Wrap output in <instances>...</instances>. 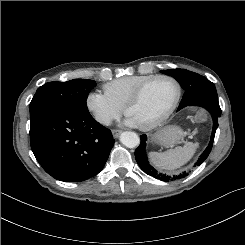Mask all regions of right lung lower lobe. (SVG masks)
Segmentation results:
<instances>
[{"label": "right lung lower lobe", "mask_w": 245, "mask_h": 245, "mask_svg": "<svg viewBox=\"0 0 245 245\" xmlns=\"http://www.w3.org/2000/svg\"><path fill=\"white\" fill-rule=\"evenodd\" d=\"M32 151L57 180L80 182L98 174L114 145L112 133L90 113L44 108L30 115Z\"/></svg>", "instance_id": "1"}]
</instances>
